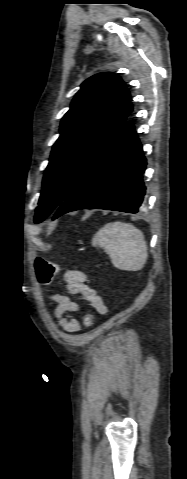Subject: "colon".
<instances>
[{
    "label": "colon",
    "instance_id": "1",
    "mask_svg": "<svg viewBox=\"0 0 187 479\" xmlns=\"http://www.w3.org/2000/svg\"><path fill=\"white\" fill-rule=\"evenodd\" d=\"M35 272L38 281L41 284H49L53 281L59 271L57 263L47 261L43 258H36L34 262ZM94 323V315L92 313H85L82 317V324L84 327H91Z\"/></svg>",
    "mask_w": 187,
    "mask_h": 479
}]
</instances>
